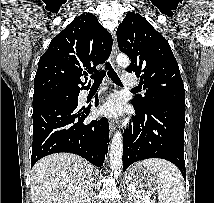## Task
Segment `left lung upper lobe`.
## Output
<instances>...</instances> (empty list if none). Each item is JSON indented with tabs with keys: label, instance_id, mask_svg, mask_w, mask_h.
Masks as SVG:
<instances>
[{
	"label": "left lung upper lobe",
	"instance_id": "left-lung-upper-lobe-1",
	"mask_svg": "<svg viewBox=\"0 0 214 203\" xmlns=\"http://www.w3.org/2000/svg\"><path fill=\"white\" fill-rule=\"evenodd\" d=\"M120 51L131 63L128 72H135L144 96L132 100L135 110L145 112L156 105L185 107L184 84L178 63L168 41L140 14L129 12L117 29Z\"/></svg>",
	"mask_w": 214,
	"mask_h": 203
}]
</instances>
